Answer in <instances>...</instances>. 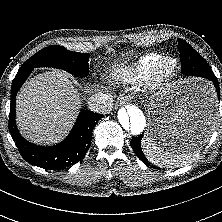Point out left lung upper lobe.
I'll use <instances>...</instances> for the list:
<instances>
[{"label":"left lung upper lobe","instance_id":"obj_1","mask_svg":"<svg viewBox=\"0 0 222 222\" xmlns=\"http://www.w3.org/2000/svg\"><path fill=\"white\" fill-rule=\"evenodd\" d=\"M178 48H179V52L181 54V56L183 57H194L197 61H199L200 64H202V66L204 68H206V70H211V67L209 66V64L205 61V59L200 56L199 53H197V51H195L186 41H184L183 39L178 38ZM213 72V71H212Z\"/></svg>","mask_w":222,"mask_h":222}]
</instances>
